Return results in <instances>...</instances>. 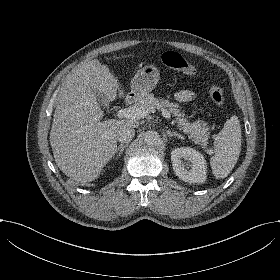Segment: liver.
Returning <instances> with one entry per match:
<instances>
[{
	"label": "liver",
	"instance_id": "6515ba94",
	"mask_svg": "<svg viewBox=\"0 0 280 280\" xmlns=\"http://www.w3.org/2000/svg\"><path fill=\"white\" fill-rule=\"evenodd\" d=\"M92 88L116 97V82L98 60H92L66 76L57 94L50 143L57 165L69 177L87 183L97 178L114 155L117 131L137 127L133 119L103 120L101 106ZM129 97V94H128ZM134 100L145 95L135 93Z\"/></svg>",
	"mask_w": 280,
	"mask_h": 280
}]
</instances>
